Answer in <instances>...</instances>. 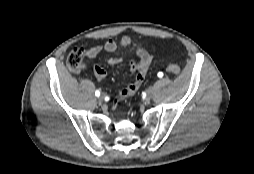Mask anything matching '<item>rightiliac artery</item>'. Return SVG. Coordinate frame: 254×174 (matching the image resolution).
Segmentation results:
<instances>
[{"label": "right iliac artery", "mask_w": 254, "mask_h": 174, "mask_svg": "<svg viewBox=\"0 0 254 174\" xmlns=\"http://www.w3.org/2000/svg\"><path fill=\"white\" fill-rule=\"evenodd\" d=\"M95 95H96L97 97H99V96H100V92H99V90H97V91L95 92Z\"/></svg>", "instance_id": "1"}]
</instances>
